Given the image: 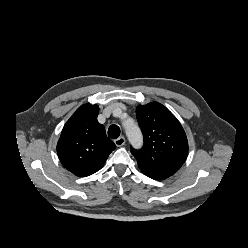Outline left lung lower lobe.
<instances>
[{
    "label": "left lung lower lobe",
    "instance_id": "obj_1",
    "mask_svg": "<svg viewBox=\"0 0 248 248\" xmlns=\"http://www.w3.org/2000/svg\"><path fill=\"white\" fill-rule=\"evenodd\" d=\"M145 175H147L148 177L155 179V180H163L166 179L168 177L162 176V175H158V174H154V173H149L146 171L141 170Z\"/></svg>",
    "mask_w": 248,
    "mask_h": 248
}]
</instances>
